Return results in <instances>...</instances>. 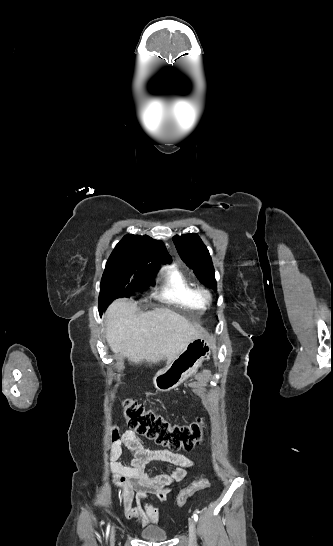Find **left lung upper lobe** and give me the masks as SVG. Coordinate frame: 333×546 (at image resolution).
Returning a JSON list of instances; mask_svg holds the SVG:
<instances>
[{
  "label": "left lung upper lobe",
  "mask_w": 333,
  "mask_h": 546,
  "mask_svg": "<svg viewBox=\"0 0 333 546\" xmlns=\"http://www.w3.org/2000/svg\"><path fill=\"white\" fill-rule=\"evenodd\" d=\"M173 242L181 259L191 268L199 281L217 290L215 271L208 249L196 233L174 236Z\"/></svg>",
  "instance_id": "5c2ea615"
}]
</instances>
